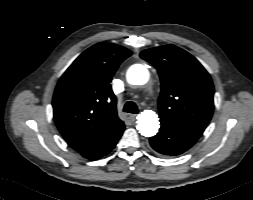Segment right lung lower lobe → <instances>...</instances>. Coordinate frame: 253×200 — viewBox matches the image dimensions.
<instances>
[{
    "mask_svg": "<svg viewBox=\"0 0 253 200\" xmlns=\"http://www.w3.org/2000/svg\"><path fill=\"white\" fill-rule=\"evenodd\" d=\"M124 131V128L116 132L114 135H112L109 139H107L104 143L90 148L86 151L81 152V155L89 160H97L101 158L102 156H105L108 154L116 145L118 140L120 139L122 133Z\"/></svg>",
    "mask_w": 253,
    "mask_h": 200,
    "instance_id": "right-lung-lower-lobe-1",
    "label": "right lung lower lobe"
}]
</instances>
